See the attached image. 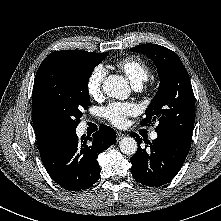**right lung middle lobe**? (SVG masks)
<instances>
[{
	"label": "right lung middle lobe",
	"mask_w": 221,
	"mask_h": 221,
	"mask_svg": "<svg viewBox=\"0 0 221 221\" xmlns=\"http://www.w3.org/2000/svg\"><path fill=\"white\" fill-rule=\"evenodd\" d=\"M108 53L70 54L40 66L34 80L33 109L60 133L75 130L90 104L88 80Z\"/></svg>",
	"instance_id": "right-lung-middle-lobe-1"
}]
</instances>
